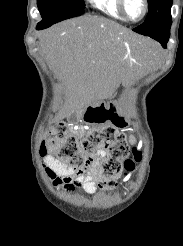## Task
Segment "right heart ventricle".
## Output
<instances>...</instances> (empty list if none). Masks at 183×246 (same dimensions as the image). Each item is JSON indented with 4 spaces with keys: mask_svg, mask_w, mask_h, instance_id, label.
Listing matches in <instances>:
<instances>
[{
    "mask_svg": "<svg viewBox=\"0 0 183 246\" xmlns=\"http://www.w3.org/2000/svg\"><path fill=\"white\" fill-rule=\"evenodd\" d=\"M94 8L106 14L109 17L120 21H126L119 10L117 0H89Z\"/></svg>",
    "mask_w": 183,
    "mask_h": 246,
    "instance_id": "right-heart-ventricle-1",
    "label": "right heart ventricle"
}]
</instances>
